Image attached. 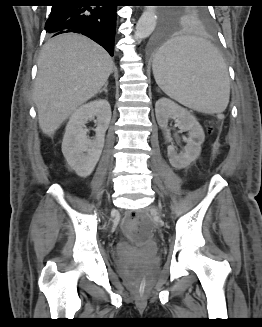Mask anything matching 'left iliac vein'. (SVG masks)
<instances>
[{
	"mask_svg": "<svg viewBox=\"0 0 262 327\" xmlns=\"http://www.w3.org/2000/svg\"><path fill=\"white\" fill-rule=\"evenodd\" d=\"M153 210L156 211L158 214H161V208L154 207Z\"/></svg>",
	"mask_w": 262,
	"mask_h": 327,
	"instance_id": "left-iliac-vein-1",
	"label": "left iliac vein"
}]
</instances>
